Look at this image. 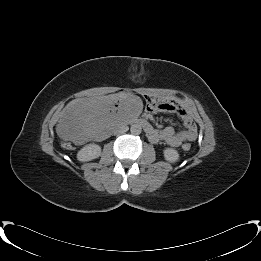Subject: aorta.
I'll use <instances>...</instances> for the list:
<instances>
[{
    "label": "aorta",
    "instance_id": "aorta-1",
    "mask_svg": "<svg viewBox=\"0 0 261 261\" xmlns=\"http://www.w3.org/2000/svg\"><path fill=\"white\" fill-rule=\"evenodd\" d=\"M130 132H131V134H133V135H139V134H141V132H142V127H141V125H139V124H133V125L130 127Z\"/></svg>",
    "mask_w": 261,
    "mask_h": 261
}]
</instances>
